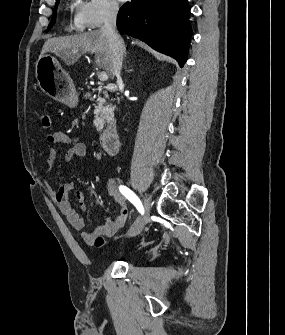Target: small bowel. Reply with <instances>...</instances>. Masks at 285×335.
<instances>
[{"label":"small bowel","mask_w":285,"mask_h":335,"mask_svg":"<svg viewBox=\"0 0 285 335\" xmlns=\"http://www.w3.org/2000/svg\"><path fill=\"white\" fill-rule=\"evenodd\" d=\"M48 141L52 144H63L67 148L64 153L65 161L69 162L76 157H85L88 153L87 146L78 141L73 135L58 131L48 135ZM56 160V151L50 148L47 153L45 165L47 168L51 167ZM45 188L61 214L66 218L69 224L76 230L82 231L83 240L90 244L98 236L112 237L120 228H122L129 217V206L125 198L119 193L115 182L112 179L107 181L108 196L116 203L119 208V215L116 217H107L104 221L93 231H84L85 221L84 218L73 208L68 200V194L74 190L72 182L63 183L58 190L45 181ZM76 198L82 209H85V194L82 191H76Z\"/></svg>","instance_id":"obj_1"}]
</instances>
